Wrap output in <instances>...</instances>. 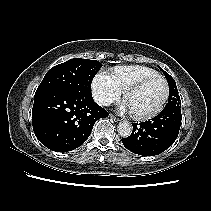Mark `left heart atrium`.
Wrapping results in <instances>:
<instances>
[{
  "label": "left heart atrium",
  "instance_id": "39dd6f15",
  "mask_svg": "<svg viewBox=\"0 0 211 211\" xmlns=\"http://www.w3.org/2000/svg\"><path fill=\"white\" fill-rule=\"evenodd\" d=\"M121 111H130L131 112L126 101L121 105Z\"/></svg>",
  "mask_w": 211,
  "mask_h": 211
}]
</instances>
